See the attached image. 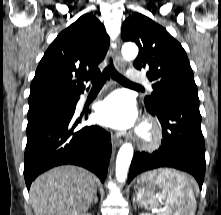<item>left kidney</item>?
<instances>
[{
  "label": "left kidney",
  "mask_w": 221,
  "mask_h": 215,
  "mask_svg": "<svg viewBox=\"0 0 221 215\" xmlns=\"http://www.w3.org/2000/svg\"><path fill=\"white\" fill-rule=\"evenodd\" d=\"M139 215H152V214H149V213H141Z\"/></svg>",
  "instance_id": "obj_1"
}]
</instances>
